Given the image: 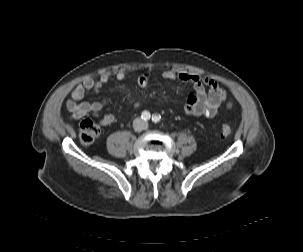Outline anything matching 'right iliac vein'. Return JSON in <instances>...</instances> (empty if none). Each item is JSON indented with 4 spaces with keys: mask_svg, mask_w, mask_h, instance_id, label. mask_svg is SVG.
I'll return each mask as SVG.
<instances>
[{
    "mask_svg": "<svg viewBox=\"0 0 303 252\" xmlns=\"http://www.w3.org/2000/svg\"><path fill=\"white\" fill-rule=\"evenodd\" d=\"M134 127H135V130H137V131L140 129V125H135Z\"/></svg>",
    "mask_w": 303,
    "mask_h": 252,
    "instance_id": "63e3f726",
    "label": "right iliac vein"
}]
</instances>
